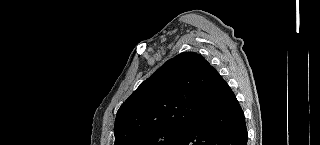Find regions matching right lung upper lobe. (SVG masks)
I'll return each instance as SVG.
<instances>
[{
	"instance_id": "1",
	"label": "right lung upper lobe",
	"mask_w": 320,
	"mask_h": 145,
	"mask_svg": "<svg viewBox=\"0 0 320 145\" xmlns=\"http://www.w3.org/2000/svg\"><path fill=\"white\" fill-rule=\"evenodd\" d=\"M223 78L205 58L184 52L163 64L119 108L115 145L152 132L185 128L214 112Z\"/></svg>"
}]
</instances>
